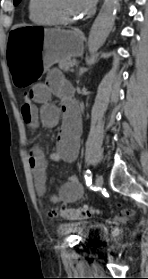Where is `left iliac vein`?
Here are the masks:
<instances>
[{
	"mask_svg": "<svg viewBox=\"0 0 148 279\" xmlns=\"http://www.w3.org/2000/svg\"><path fill=\"white\" fill-rule=\"evenodd\" d=\"M96 186L98 188H102L103 187V178L101 175H97L96 176Z\"/></svg>",
	"mask_w": 148,
	"mask_h": 279,
	"instance_id": "obj_1",
	"label": "left iliac vein"
}]
</instances>
